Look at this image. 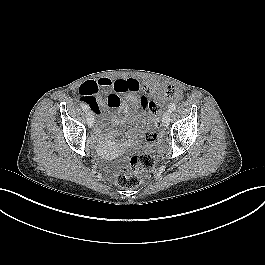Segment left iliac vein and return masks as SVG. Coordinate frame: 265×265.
<instances>
[{
  "label": "left iliac vein",
  "instance_id": "obj_1",
  "mask_svg": "<svg viewBox=\"0 0 265 265\" xmlns=\"http://www.w3.org/2000/svg\"><path fill=\"white\" fill-rule=\"evenodd\" d=\"M170 117H171V112L170 111H166L164 114H163V117H162V124L163 126L167 127L170 123Z\"/></svg>",
  "mask_w": 265,
  "mask_h": 265
}]
</instances>
